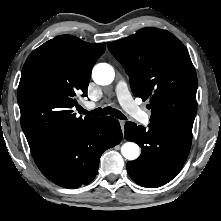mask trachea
Segmentation results:
<instances>
[{
  "label": "trachea",
  "instance_id": "3493384b",
  "mask_svg": "<svg viewBox=\"0 0 221 221\" xmlns=\"http://www.w3.org/2000/svg\"><path fill=\"white\" fill-rule=\"evenodd\" d=\"M79 112L81 114H85V115H90V116H103V115H111L113 117H116L118 119H122V120H125L126 117L117 109H114L112 107H105V108H97L95 110H92V111H87L83 108H79Z\"/></svg>",
  "mask_w": 221,
  "mask_h": 221
}]
</instances>
